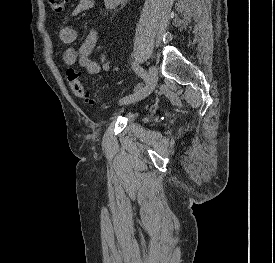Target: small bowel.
Instances as JSON below:
<instances>
[{"label":"small bowel","mask_w":275,"mask_h":263,"mask_svg":"<svg viewBox=\"0 0 275 263\" xmlns=\"http://www.w3.org/2000/svg\"><path fill=\"white\" fill-rule=\"evenodd\" d=\"M94 0H79L77 6L71 13L72 17H77L80 14L92 9ZM78 32L72 26H65L60 30L61 41L69 45L64 51L63 62L67 66L84 69L91 76H98L110 68L109 60L94 61L90 58L99 37L96 29H91L83 38L80 45L75 48L72 45L77 41Z\"/></svg>","instance_id":"obj_1"}]
</instances>
